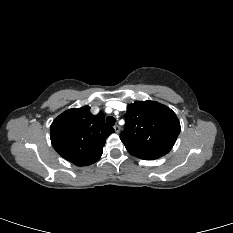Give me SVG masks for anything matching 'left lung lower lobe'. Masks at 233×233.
Returning a JSON list of instances; mask_svg holds the SVG:
<instances>
[{"instance_id":"obj_1","label":"left lung lower lobe","mask_w":233,"mask_h":233,"mask_svg":"<svg viewBox=\"0 0 233 233\" xmlns=\"http://www.w3.org/2000/svg\"><path fill=\"white\" fill-rule=\"evenodd\" d=\"M145 160H152V159L145 158Z\"/></svg>"}]
</instances>
